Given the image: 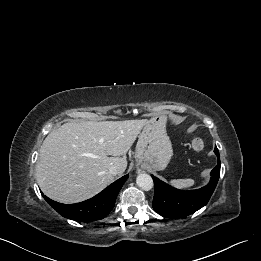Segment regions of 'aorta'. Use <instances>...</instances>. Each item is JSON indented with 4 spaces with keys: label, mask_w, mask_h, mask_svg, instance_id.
<instances>
[{
    "label": "aorta",
    "mask_w": 261,
    "mask_h": 261,
    "mask_svg": "<svg viewBox=\"0 0 261 261\" xmlns=\"http://www.w3.org/2000/svg\"><path fill=\"white\" fill-rule=\"evenodd\" d=\"M137 185L145 191H149L153 188V179L149 174L141 173L136 178Z\"/></svg>",
    "instance_id": "aorta-1"
}]
</instances>
